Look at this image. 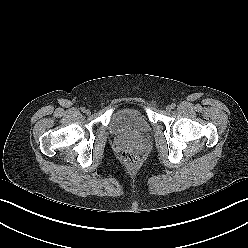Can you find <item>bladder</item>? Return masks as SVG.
<instances>
[{"instance_id": "obj_1", "label": "bladder", "mask_w": 248, "mask_h": 248, "mask_svg": "<svg viewBox=\"0 0 248 248\" xmlns=\"http://www.w3.org/2000/svg\"><path fill=\"white\" fill-rule=\"evenodd\" d=\"M110 129L115 135L142 136L149 131L150 125L139 110L124 109L112 117Z\"/></svg>"}]
</instances>
